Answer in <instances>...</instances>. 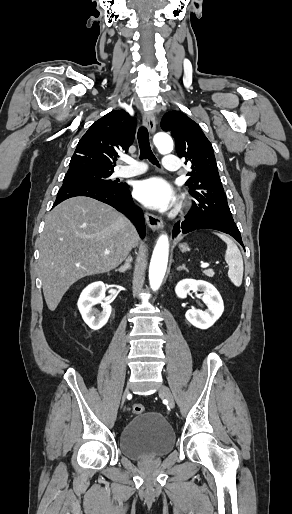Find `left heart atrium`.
Returning <instances> with one entry per match:
<instances>
[{"label": "left heart atrium", "mask_w": 292, "mask_h": 514, "mask_svg": "<svg viewBox=\"0 0 292 514\" xmlns=\"http://www.w3.org/2000/svg\"><path fill=\"white\" fill-rule=\"evenodd\" d=\"M135 197L151 208L165 209L174 202V193L168 183L160 177L140 181L134 190Z\"/></svg>", "instance_id": "left-heart-atrium-1"}]
</instances>
